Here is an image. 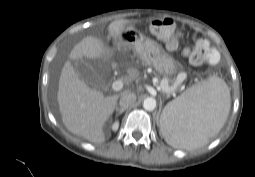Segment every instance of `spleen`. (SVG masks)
<instances>
[{
    "label": "spleen",
    "instance_id": "obj_1",
    "mask_svg": "<svg viewBox=\"0 0 255 177\" xmlns=\"http://www.w3.org/2000/svg\"><path fill=\"white\" fill-rule=\"evenodd\" d=\"M230 106L226 83L212 76L166 105L160 118L162 135L177 148L203 146L221 130Z\"/></svg>",
    "mask_w": 255,
    "mask_h": 177
}]
</instances>
